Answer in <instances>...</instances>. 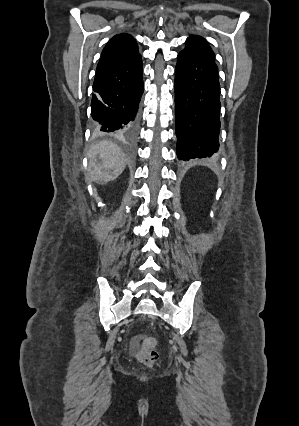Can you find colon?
<instances>
[{"label":"colon","mask_w":299,"mask_h":426,"mask_svg":"<svg viewBox=\"0 0 299 426\" xmlns=\"http://www.w3.org/2000/svg\"><path fill=\"white\" fill-rule=\"evenodd\" d=\"M137 339L142 344L138 352L139 360L148 366H152L159 359V353L155 348L156 340L153 337L143 335L137 336Z\"/></svg>","instance_id":"1"}]
</instances>
